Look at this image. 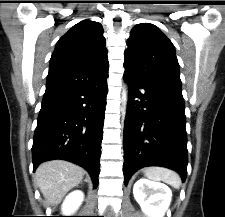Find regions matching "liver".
<instances>
[{"instance_id":"6515ba94","label":"liver","mask_w":225,"mask_h":217,"mask_svg":"<svg viewBox=\"0 0 225 217\" xmlns=\"http://www.w3.org/2000/svg\"><path fill=\"white\" fill-rule=\"evenodd\" d=\"M84 170L64 160H51L39 165L35 172L36 184L51 206L59 204L69 190L83 179Z\"/></svg>"}]
</instances>
